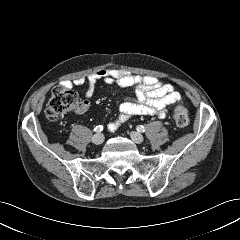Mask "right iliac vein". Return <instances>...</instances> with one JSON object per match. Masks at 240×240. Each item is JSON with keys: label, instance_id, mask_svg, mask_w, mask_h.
Masks as SVG:
<instances>
[{"label": "right iliac vein", "instance_id": "63e3f726", "mask_svg": "<svg viewBox=\"0 0 240 240\" xmlns=\"http://www.w3.org/2000/svg\"><path fill=\"white\" fill-rule=\"evenodd\" d=\"M92 142L96 145H100L104 142V135L101 133H97L92 137Z\"/></svg>", "mask_w": 240, "mask_h": 240}]
</instances>
